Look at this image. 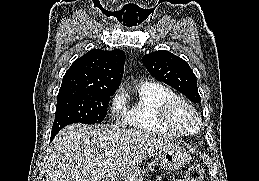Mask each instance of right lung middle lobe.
Wrapping results in <instances>:
<instances>
[{"label":"right lung middle lobe","instance_id":"1","mask_svg":"<svg viewBox=\"0 0 259 181\" xmlns=\"http://www.w3.org/2000/svg\"><path fill=\"white\" fill-rule=\"evenodd\" d=\"M113 94L91 90H59L51 137L53 138L63 127L72 123L102 122Z\"/></svg>","mask_w":259,"mask_h":181}]
</instances>
